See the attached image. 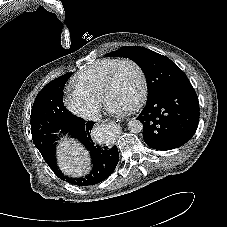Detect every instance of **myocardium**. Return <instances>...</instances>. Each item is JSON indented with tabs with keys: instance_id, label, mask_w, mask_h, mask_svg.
I'll return each instance as SVG.
<instances>
[{
	"instance_id": "obj_1",
	"label": "myocardium",
	"mask_w": 227,
	"mask_h": 227,
	"mask_svg": "<svg viewBox=\"0 0 227 227\" xmlns=\"http://www.w3.org/2000/svg\"><path fill=\"white\" fill-rule=\"evenodd\" d=\"M125 64L132 65L137 70V72L140 76V90H139V93H138L134 103L131 105V108H136L142 103V101L145 99V97L147 95L148 80H147L146 73H145L144 69L142 68V66L137 61L130 59V58L120 59L114 65V67L111 69L107 78L104 81V84L102 87V92H101V98L104 102H107L108 92L111 89V87L113 86L119 70Z\"/></svg>"
}]
</instances>
